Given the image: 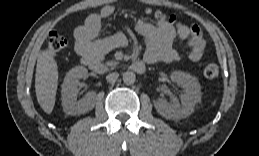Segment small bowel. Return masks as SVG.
Returning <instances> with one entry per match:
<instances>
[{
	"mask_svg": "<svg viewBox=\"0 0 259 156\" xmlns=\"http://www.w3.org/2000/svg\"><path fill=\"white\" fill-rule=\"evenodd\" d=\"M114 12L112 5H105L99 12L89 15L85 22L75 29V49L82 58L91 56L101 60L110 50L126 45L127 39L122 33L97 39L102 21L110 18ZM136 30L144 37V59L148 64L178 61L180 54L173 46L177 36L180 41L188 39V58L193 62L199 61L206 50V42L197 25H181L176 30L173 25L164 21L151 23L138 19Z\"/></svg>",
	"mask_w": 259,
	"mask_h": 156,
	"instance_id": "small-bowel-1",
	"label": "small bowel"
}]
</instances>
